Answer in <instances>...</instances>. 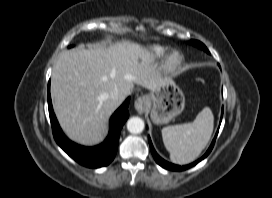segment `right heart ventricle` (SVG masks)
I'll use <instances>...</instances> for the list:
<instances>
[{"instance_id": "obj_1", "label": "right heart ventricle", "mask_w": 272, "mask_h": 198, "mask_svg": "<svg viewBox=\"0 0 272 198\" xmlns=\"http://www.w3.org/2000/svg\"><path fill=\"white\" fill-rule=\"evenodd\" d=\"M166 51H167V49L165 47L158 46V45L153 46L151 48V53L155 58H160V57L164 56Z\"/></svg>"}]
</instances>
